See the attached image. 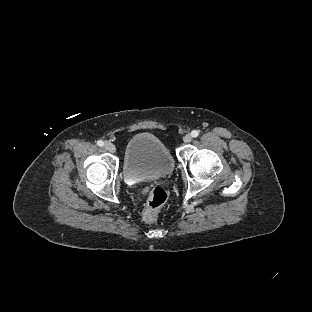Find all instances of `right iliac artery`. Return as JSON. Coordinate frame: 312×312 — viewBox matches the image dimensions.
Returning <instances> with one entry per match:
<instances>
[{
    "label": "right iliac artery",
    "mask_w": 312,
    "mask_h": 312,
    "mask_svg": "<svg viewBox=\"0 0 312 312\" xmlns=\"http://www.w3.org/2000/svg\"><path fill=\"white\" fill-rule=\"evenodd\" d=\"M97 145L100 146V147H102V146L104 145V142H103L102 140H98V141H97Z\"/></svg>",
    "instance_id": "82829eb1"
}]
</instances>
